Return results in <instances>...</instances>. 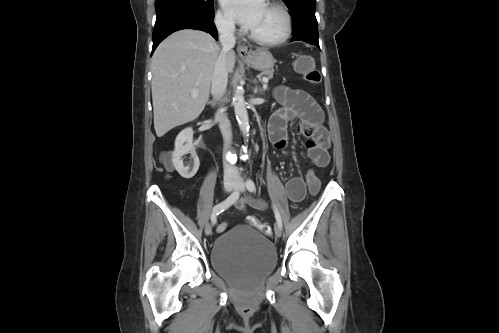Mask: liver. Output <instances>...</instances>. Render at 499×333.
Instances as JSON below:
<instances>
[{"label": "liver", "mask_w": 499, "mask_h": 333, "mask_svg": "<svg viewBox=\"0 0 499 333\" xmlns=\"http://www.w3.org/2000/svg\"><path fill=\"white\" fill-rule=\"evenodd\" d=\"M220 47L208 33L179 30L166 38L152 57L154 128L162 137L174 127L195 120L204 110ZM227 72L235 65V53L227 52ZM197 96L192 97V91Z\"/></svg>", "instance_id": "1"}]
</instances>
